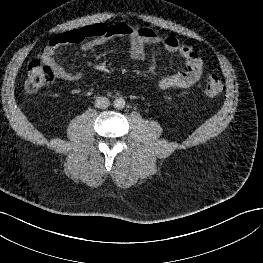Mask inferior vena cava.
Segmentation results:
<instances>
[{
	"label": "inferior vena cava",
	"mask_w": 263,
	"mask_h": 263,
	"mask_svg": "<svg viewBox=\"0 0 263 263\" xmlns=\"http://www.w3.org/2000/svg\"><path fill=\"white\" fill-rule=\"evenodd\" d=\"M94 104H95L96 108L105 109V108L109 107L110 101L108 98L100 96V97H97L95 99Z\"/></svg>",
	"instance_id": "1"
}]
</instances>
